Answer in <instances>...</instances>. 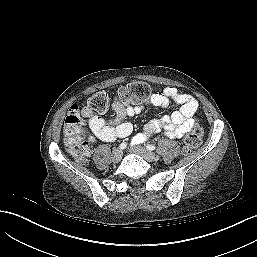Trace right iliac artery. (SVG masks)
<instances>
[{
  "instance_id": "82829eb1",
  "label": "right iliac artery",
  "mask_w": 257,
  "mask_h": 257,
  "mask_svg": "<svg viewBox=\"0 0 257 257\" xmlns=\"http://www.w3.org/2000/svg\"><path fill=\"white\" fill-rule=\"evenodd\" d=\"M126 147H127V143H125V142L121 143L120 146H119V148L121 150L125 149Z\"/></svg>"
}]
</instances>
